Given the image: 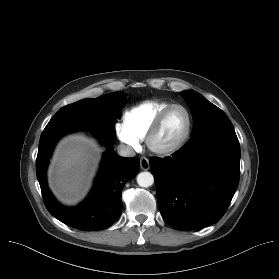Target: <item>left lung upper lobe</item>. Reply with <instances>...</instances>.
I'll return each instance as SVG.
<instances>
[{
    "mask_svg": "<svg viewBox=\"0 0 279 279\" xmlns=\"http://www.w3.org/2000/svg\"><path fill=\"white\" fill-rule=\"evenodd\" d=\"M192 110L194 128L192 138L216 130H234L227 115L217 106L193 91L180 93Z\"/></svg>",
    "mask_w": 279,
    "mask_h": 279,
    "instance_id": "1",
    "label": "left lung upper lobe"
}]
</instances>
